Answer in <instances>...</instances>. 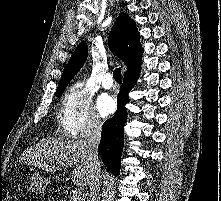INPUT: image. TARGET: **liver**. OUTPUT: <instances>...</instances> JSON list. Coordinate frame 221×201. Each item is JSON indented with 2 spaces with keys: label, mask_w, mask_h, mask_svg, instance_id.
Here are the masks:
<instances>
[{
  "label": "liver",
  "mask_w": 221,
  "mask_h": 201,
  "mask_svg": "<svg viewBox=\"0 0 221 201\" xmlns=\"http://www.w3.org/2000/svg\"><path fill=\"white\" fill-rule=\"evenodd\" d=\"M21 162L38 166L47 172L75 165L71 176L72 182L81 187L90 185V161L88 146L84 139H42L36 145L25 150Z\"/></svg>",
  "instance_id": "1"
}]
</instances>
